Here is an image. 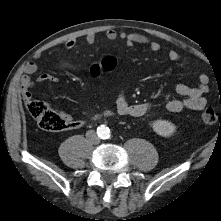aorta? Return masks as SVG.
Masks as SVG:
<instances>
[{
	"label": "aorta",
	"instance_id": "obj_1",
	"mask_svg": "<svg viewBox=\"0 0 221 221\" xmlns=\"http://www.w3.org/2000/svg\"><path fill=\"white\" fill-rule=\"evenodd\" d=\"M97 133H98L100 138L107 139L110 136V129L105 125H101L97 129Z\"/></svg>",
	"mask_w": 221,
	"mask_h": 221
}]
</instances>
